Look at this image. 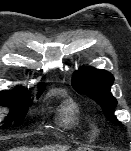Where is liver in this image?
<instances>
[{
  "mask_svg": "<svg viewBox=\"0 0 131 151\" xmlns=\"http://www.w3.org/2000/svg\"><path fill=\"white\" fill-rule=\"evenodd\" d=\"M69 147L67 146H52L44 147L40 149H30V148H17L15 151H67Z\"/></svg>",
  "mask_w": 131,
  "mask_h": 151,
  "instance_id": "1",
  "label": "liver"
}]
</instances>
